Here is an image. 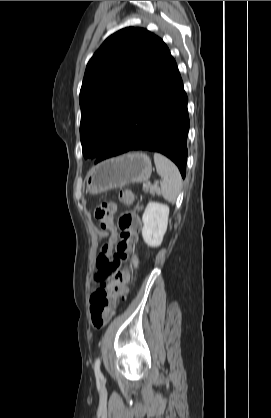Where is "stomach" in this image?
<instances>
[{
  "label": "stomach",
  "instance_id": "obj_1",
  "mask_svg": "<svg viewBox=\"0 0 271 418\" xmlns=\"http://www.w3.org/2000/svg\"><path fill=\"white\" fill-rule=\"evenodd\" d=\"M152 172L150 158L142 152L124 154L94 166L87 175V189L100 194L130 183L146 182Z\"/></svg>",
  "mask_w": 271,
  "mask_h": 418
}]
</instances>
